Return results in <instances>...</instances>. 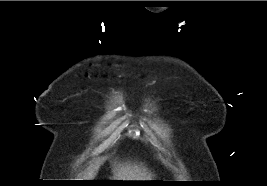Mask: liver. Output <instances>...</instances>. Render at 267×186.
Listing matches in <instances>:
<instances>
[{
	"mask_svg": "<svg viewBox=\"0 0 267 186\" xmlns=\"http://www.w3.org/2000/svg\"><path fill=\"white\" fill-rule=\"evenodd\" d=\"M102 162H97L88 168L87 177L94 178L98 172V169ZM113 178L114 180L124 181H141L143 179H152L151 173H148L147 169L142 165L131 163H114L113 165Z\"/></svg>",
	"mask_w": 267,
	"mask_h": 186,
	"instance_id": "1",
	"label": "liver"
}]
</instances>
